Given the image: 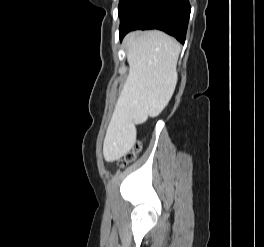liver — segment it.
<instances>
[{"mask_svg":"<svg viewBox=\"0 0 264 247\" xmlns=\"http://www.w3.org/2000/svg\"><path fill=\"white\" fill-rule=\"evenodd\" d=\"M129 74L108 125L103 155L119 160L136 143L135 125L159 115L177 84L180 44L161 31H134L124 39Z\"/></svg>","mask_w":264,"mask_h":247,"instance_id":"6515ba94","label":"liver"}]
</instances>
